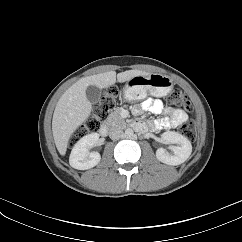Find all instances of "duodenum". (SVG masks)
Returning a JSON list of instances; mask_svg holds the SVG:
<instances>
[{"label": "duodenum", "mask_w": 242, "mask_h": 242, "mask_svg": "<svg viewBox=\"0 0 242 242\" xmlns=\"http://www.w3.org/2000/svg\"><path fill=\"white\" fill-rule=\"evenodd\" d=\"M100 134L102 136H106L108 134V126L107 125H103L100 129Z\"/></svg>", "instance_id": "obj_1"}]
</instances>
